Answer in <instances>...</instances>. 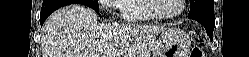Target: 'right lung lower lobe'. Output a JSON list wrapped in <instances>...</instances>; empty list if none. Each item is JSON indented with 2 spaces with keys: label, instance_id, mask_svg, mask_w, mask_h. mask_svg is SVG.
Listing matches in <instances>:
<instances>
[{
  "label": "right lung lower lobe",
  "instance_id": "right-lung-lower-lobe-1",
  "mask_svg": "<svg viewBox=\"0 0 249 57\" xmlns=\"http://www.w3.org/2000/svg\"><path fill=\"white\" fill-rule=\"evenodd\" d=\"M72 3H78L83 5V0H43V5L41 9L40 14V24L43 25V22L46 20V18L55 10H57L60 7L72 4ZM99 14V10H95ZM100 15V14H99ZM101 16V15H100Z\"/></svg>",
  "mask_w": 249,
  "mask_h": 57
}]
</instances>
